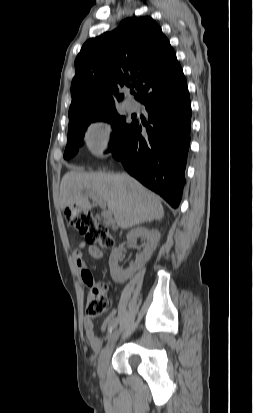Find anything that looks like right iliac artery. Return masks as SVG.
Instances as JSON below:
<instances>
[{"label": "right iliac artery", "mask_w": 253, "mask_h": 413, "mask_svg": "<svg viewBox=\"0 0 253 413\" xmlns=\"http://www.w3.org/2000/svg\"><path fill=\"white\" fill-rule=\"evenodd\" d=\"M118 321L116 320L115 323L110 327L108 336L112 333L113 329L117 326Z\"/></svg>", "instance_id": "right-iliac-artery-1"}]
</instances>
